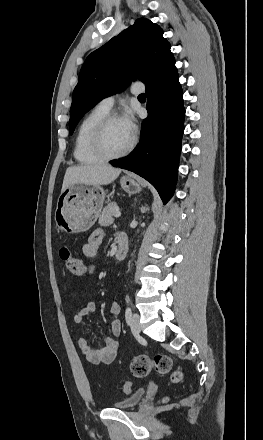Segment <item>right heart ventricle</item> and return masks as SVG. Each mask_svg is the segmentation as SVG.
<instances>
[{"label":"right heart ventricle","mask_w":263,"mask_h":440,"mask_svg":"<svg viewBox=\"0 0 263 440\" xmlns=\"http://www.w3.org/2000/svg\"><path fill=\"white\" fill-rule=\"evenodd\" d=\"M108 113L109 111L96 106L81 120L74 140L73 154L77 162L92 164L103 160L92 150L91 135L95 125Z\"/></svg>","instance_id":"e07e8e85"}]
</instances>
